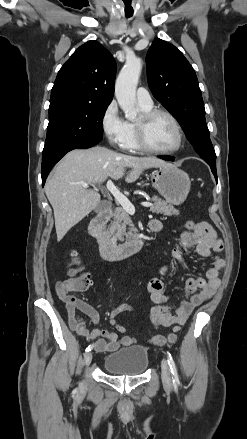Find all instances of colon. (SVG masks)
Returning <instances> with one entry per match:
<instances>
[{"mask_svg": "<svg viewBox=\"0 0 247 439\" xmlns=\"http://www.w3.org/2000/svg\"><path fill=\"white\" fill-rule=\"evenodd\" d=\"M186 228L194 230L197 227V223L193 221L186 222ZM69 274L73 276L72 289L75 291H82L89 287L90 278L87 273H83L79 267V261L75 251L69 253Z\"/></svg>", "mask_w": 247, "mask_h": 439, "instance_id": "obj_1", "label": "colon"}]
</instances>
